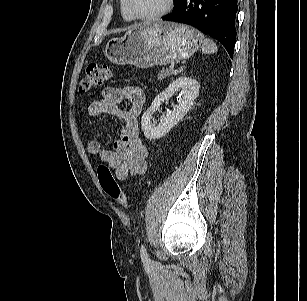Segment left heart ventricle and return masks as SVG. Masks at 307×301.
<instances>
[{"mask_svg": "<svg viewBox=\"0 0 307 301\" xmlns=\"http://www.w3.org/2000/svg\"><path fill=\"white\" fill-rule=\"evenodd\" d=\"M135 9L142 15H151L162 10L167 0H132Z\"/></svg>", "mask_w": 307, "mask_h": 301, "instance_id": "b2bd125f", "label": "left heart ventricle"}]
</instances>
